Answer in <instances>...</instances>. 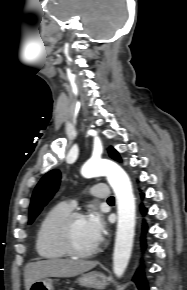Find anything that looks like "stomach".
<instances>
[{
    "mask_svg": "<svg viewBox=\"0 0 187 290\" xmlns=\"http://www.w3.org/2000/svg\"><path fill=\"white\" fill-rule=\"evenodd\" d=\"M77 282L84 287L102 290L107 285V277L100 272L83 273L78 277ZM29 290H53V280L46 277L35 281Z\"/></svg>",
    "mask_w": 187,
    "mask_h": 290,
    "instance_id": "stomach-1",
    "label": "stomach"
}]
</instances>
